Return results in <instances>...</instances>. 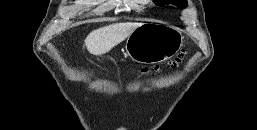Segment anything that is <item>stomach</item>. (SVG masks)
Masks as SVG:
<instances>
[{
    "instance_id": "0dacf381",
    "label": "stomach",
    "mask_w": 257,
    "mask_h": 130,
    "mask_svg": "<svg viewBox=\"0 0 257 130\" xmlns=\"http://www.w3.org/2000/svg\"><path fill=\"white\" fill-rule=\"evenodd\" d=\"M183 38L178 28L151 20L142 23L128 36L126 53L138 63H160L178 53Z\"/></svg>"
}]
</instances>
